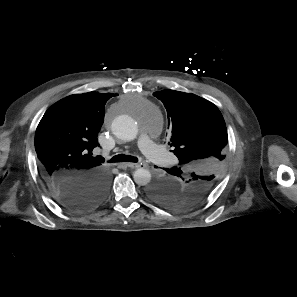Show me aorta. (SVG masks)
I'll return each mask as SVG.
<instances>
[{
    "mask_svg": "<svg viewBox=\"0 0 297 297\" xmlns=\"http://www.w3.org/2000/svg\"><path fill=\"white\" fill-rule=\"evenodd\" d=\"M111 128L113 134L123 141H132L138 134L137 123L128 115L116 117L112 122ZM133 179L136 184L144 186L150 182L151 173L147 169L138 168L133 173Z\"/></svg>",
    "mask_w": 297,
    "mask_h": 297,
    "instance_id": "obj_1",
    "label": "aorta"
}]
</instances>
